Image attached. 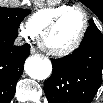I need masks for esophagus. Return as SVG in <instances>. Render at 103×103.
<instances>
[{
  "label": "esophagus",
  "mask_w": 103,
  "mask_h": 103,
  "mask_svg": "<svg viewBox=\"0 0 103 103\" xmlns=\"http://www.w3.org/2000/svg\"><path fill=\"white\" fill-rule=\"evenodd\" d=\"M31 53H32V54H35V53H37V50H36V48L32 47V48H31Z\"/></svg>",
  "instance_id": "34e87169"
}]
</instances>
